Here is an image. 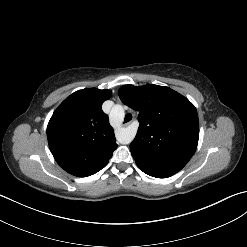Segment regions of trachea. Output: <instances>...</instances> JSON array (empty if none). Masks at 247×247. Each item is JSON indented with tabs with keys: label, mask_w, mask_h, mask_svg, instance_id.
<instances>
[{
	"label": "trachea",
	"mask_w": 247,
	"mask_h": 247,
	"mask_svg": "<svg viewBox=\"0 0 247 247\" xmlns=\"http://www.w3.org/2000/svg\"><path fill=\"white\" fill-rule=\"evenodd\" d=\"M132 119V115L130 113L125 115L124 123L129 122Z\"/></svg>",
	"instance_id": "3493384b"
}]
</instances>
